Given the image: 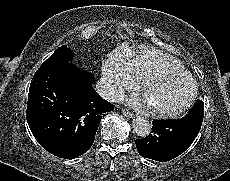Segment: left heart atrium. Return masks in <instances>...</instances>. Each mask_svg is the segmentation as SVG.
I'll return each mask as SVG.
<instances>
[{"mask_svg": "<svg viewBox=\"0 0 230 181\" xmlns=\"http://www.w3.org/2000/svg\"><path fill=\"white\" fill-rule=\"evenodd\" d=\"M130 103L134 105L136 108H143L145 104L141 99L136 97L131 98Z\"/></svg>", "mask_w": 230, "mask_h": 181, "instance_id": "left-heart-atrium-1", "label": "left heart atrium"}]
</instances>
